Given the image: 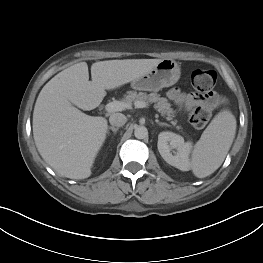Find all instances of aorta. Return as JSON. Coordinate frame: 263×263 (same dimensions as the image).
<instances>
[{
  "label": "aorta",
  "mask_w": 263,
  "mask_h": 263,
  "mask_svg": "<svg viewBox=\"0 0 263 263\" xmlns=\"http://www.w3.org/2000/svg\"><path fill=\"white\" fill-rule=\"evenodd\" d=\"M134 135L137 139H144L148 136V130L145 126H137L134 130Z\"/></svg>",
  "instance_id": "1"
}]
</instances>
